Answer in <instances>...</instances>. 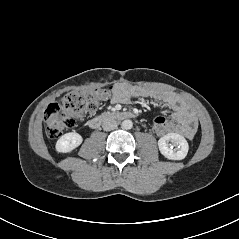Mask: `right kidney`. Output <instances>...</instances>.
Here are the masks:
<instances>
[{"label": "right kidney", "instance_id": "1", "mask_svg": "<svg viewBox=\"0 0 239 239\" xmlns=\"http://www.w3.org/2000/svg\"><path fill=\"white\" fill-rule=\"evenodd\" d=\"M83 138L76 132L66 133L56 142V151L60 153H68L80 146Z\"/></svg>", "mask_w": 239, "mask_h": 239}]
</instances>
